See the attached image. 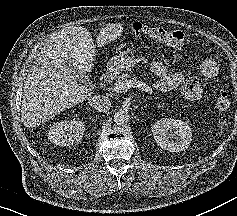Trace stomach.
<instances>
[{"mask_svg":"<svg viewBox=\"0 0 237 216\" xmlns=\"http://www.w3.org/2000/svg\"><path fill=\"white\" fill-rule=\"evenodd\" d=\"M137 59L131 49L124 50L114 56L107 64L108 68L115 71H126L135 66Z\"/></svg>","mask_w":237,"mask_h":216,"instance_id":"1","label":"stomach"}]
</instances>
